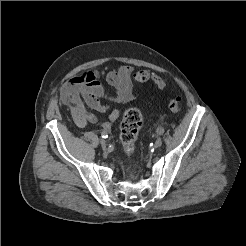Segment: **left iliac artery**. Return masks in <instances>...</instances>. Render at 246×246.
<instances>
[{
  "instance_id": "1",
  "label": "left iliac artery",
  "mask_w": 246,
  "mask_h": 246,
  "mask_svg": "<svg viewBox=\"0 0 246 246\" xmlns=\"http://www.w3.org/2000/svg\"><path fill=\"white\" fill-rule=\"evenodd\" d=\"M156 133L158 135H162L164 133V129L162 127H158L157 130H156Z\"/></svg>"
}]
</instances>
